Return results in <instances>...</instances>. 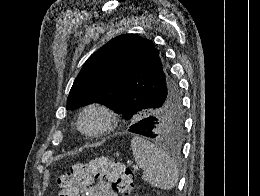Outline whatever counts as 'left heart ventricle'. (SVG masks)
I'll return each instance as SVG.
<instances>
[{"label":"left heart ventricle","instance_id":"left-heart-ventricle-1","mask_svg":"<svg viewBox=\"0 0 260 196\" xmlns=\"http://www.w3.org/2000/svg\"><path fill=\"white\" fill-rule=\"evenodd\" d=\"M104 115L99 111H90L82 119L81 126L86 131H96L104 123Z\"/></svg>","mask_w":260,"mask_h":196}]
</instances>
